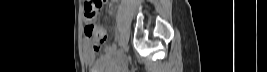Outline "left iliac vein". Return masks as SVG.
<instances>
[{
  "instance_id": "4c4485c4",
  "label": "left iliac vein",
  "mask_w": 267,
  "mask_h": 72,
  "mask_svg": "<svg viewBox=\"0 0 267 72\" xmlns=\"http://www.w3.org/2000/svg\"><path fill=\"white\" fill-rule=\"evenodd\" d=\"M127 49H128L127 44L124 43L123 53H122V56H121V60H122L123 63L127 61Z\"/></svg>"
}]
</instances>
